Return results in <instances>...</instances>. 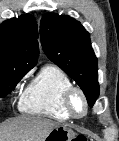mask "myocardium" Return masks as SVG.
<instances>
[{
	"label": "myocardium",
	"instance_id": "obj_1",
	"mask_svg": "<svg viewBox=\"0 0 119 141\" xmlns=\"http://www.w3.org/2000/svg\"><path fill=\"white\" fill-rule=\"evenodd\" d=\"M75 97H79L82 101V104H83V109L80 113L77 112L73 106V101H74ZM62 101H63V107H64L65 111L72 118H75V119L82 118L88 112L87 97H86L85 93L79 87L71 86L70 88H68L63 94Z\"/></svg>",
	"mask_w": 119,
	"mask_h": 141
}]
</instances>
